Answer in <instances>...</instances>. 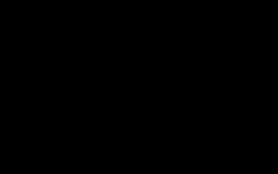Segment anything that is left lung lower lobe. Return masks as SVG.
<instances>
[{
	"instance_id": "obj_1",
	"label": "left lung lower lobe",
	"mask_w": 278,
	"mask_h": 174,
	"mask_svg": "<svg viewBox=\"0 0 278 174\" xmlns=\"http://www.w3.org/2000/svg\"><path fill=\"white\" fill-rule=\"evenodd\" d=\"M215 91L214 78L198 76L151 96L155 138L175 148L194 141L211 113Z\"/></svg>"
}]
</instances>
